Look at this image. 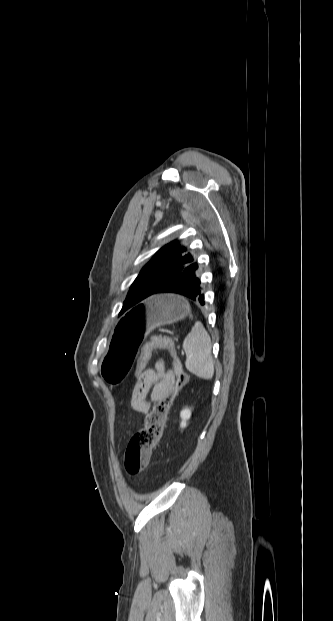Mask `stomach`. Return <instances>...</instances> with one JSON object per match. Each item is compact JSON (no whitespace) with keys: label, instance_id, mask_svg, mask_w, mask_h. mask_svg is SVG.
I'll return each mask as SVG.
<instances>
[{"label":"stomach","instance_id":"stomach-1","mask_svg":"<svg viewBox=\"0 0 333 621\" xmlns=\"http://www.w3.org/2000/svg\"><path fill=\"white\" fill-rule=\"evenodd\" d=\"M188 305L173 295H155L126 314L110 336L101 363V374L111 389H118L135 368L142 350L145 328L172 324L187 315Z\"/></svg>","mask_w":333,"mask_h":621}]
</instances>
